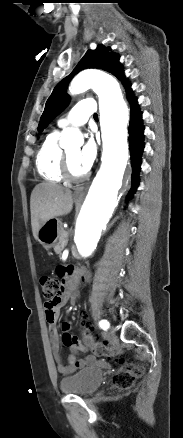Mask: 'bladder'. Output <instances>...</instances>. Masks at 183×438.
Segmentation results:
<instances>
[{"mask_svg":"<svg viewBox=\"0 0 183 438\" xmlns=\"http://www.w3.org/2000/svg\"><path fill=\"white\" fill-rule=\"evenodd\" d=\"M103 379L104 373L99 368H84L73 376L63 378L60 389L63 393L88 396L101 386Z\"/></svg>","mask_w":183,"mask_h":438,"instance_id":"obj_1","label":"bladder"}]
</instances>
